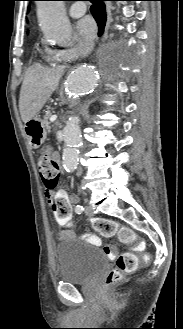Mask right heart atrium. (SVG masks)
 I'll return each instance as SVG.
<instances>
[{
    "instance_id": "d8ad5b80",
    "label": "right heart atrium",
    "mask_w": 183,
    "mask_h": 329,
    "mask_svg": "<svg viewBox=\"0 0 183 329\" xmlns=\"http://www.w3.org/2000/svg\"><path fill=\"white\" fill-rule=\"evenodd\" d=\"M88 45L79 39H75V44L72 47L60 49L57 51V56L61 60H67L77 56L81 49L86 48Z\"/></svg>"
}]
</instances>
